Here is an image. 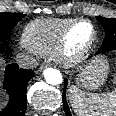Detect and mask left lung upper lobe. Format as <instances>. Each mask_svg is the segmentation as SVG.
Instances as JSON below:
<instances>
[{
    "label": "left lung upper lobe",
    "mask_w": 116,
    "mask_h": 116,
    "mask_svg": "<svg viewBox=\"0 0 116 116\" xmlns=\"http://www.w3.org/2000/svg\"><path fill=\"white\" fill-rule=\"evenodd\" d=\"M104 27L106 35L100 50L106 51L109 49H116V19L104 18L98 16L96 18Z\"/></svg>",
    "instance_id": "obj_1"
}]
</instances>
